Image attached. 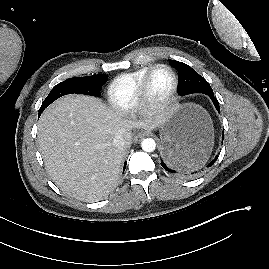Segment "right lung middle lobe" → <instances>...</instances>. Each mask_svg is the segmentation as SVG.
Wrapping results in <instances>:
<instances>
[{
	"mask_svg": "<svg viewBox=\"0 0 269 269\" xmlns=\"http://www.w3.org/2000/svg\"><path fill=\"white\" fill-rule=\"evenodd\" d=\"M107 75H93L86 77H74L57 84L43 101L39 116L53 101L67 94H86L100 96V90L107 81Z\"/></svg>",
	"mask_w": 269,
	"mask_h": 269,
	"instance_id": "right-lung-middle-lobe-1",
	"label": "right lung middle lobe"
}]
</instances>
